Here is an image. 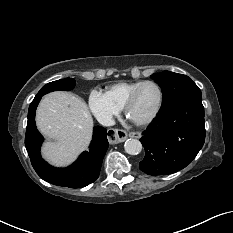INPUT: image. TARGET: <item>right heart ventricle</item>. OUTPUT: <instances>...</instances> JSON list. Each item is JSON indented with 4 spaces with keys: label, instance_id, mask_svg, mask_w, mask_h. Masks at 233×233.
<instances>
[{
    "label": "right heart ventricle",
    "instance_id": "obj_1",
    "mask_svg": "<svg viewBox=\"0 0 233 233\" xmlns=\"http://www.w3.org/2000/svg\"><path fill=\"white\" fill-rule=\"evenodd\" d=\"M143 81H122L110 85L107 90V96L120 108H123L131 92Z\"/></svg>",
    "mask_w": 233,
    "mask_h": 233
}]
</instances>
